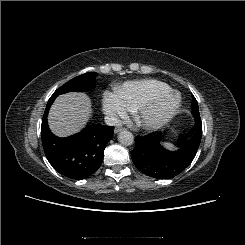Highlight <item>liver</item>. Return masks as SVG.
Masks as SVG:
<instances>
[{"label":"liver","instance_id":"obj_1","mask_svg":"<svg viewBox=\"0 0 245 245\" xmlns=\"http://www.w3.org/2000/svg\"><path fill=\"white\" fill-rule=\"evenodd\" d=\"M91 100L84 93L59 96L50 109L49 127L55 135L66 137L80 131L91 116Z\"/></svg>","mask_w":245,"mask_h":245}]
</instances>
